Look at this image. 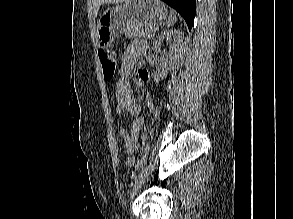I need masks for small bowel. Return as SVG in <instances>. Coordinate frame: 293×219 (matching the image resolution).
Masks as SVG:
<instances>
[{"label": "small bowel", "mask_w": 293, "mask_h": 219, "mask_svg": "<svg viewBox=\"0 0 293 219\" xmlns=\"http://www.w3.org/2000/svg\"><path fill=\"white\" fill-rule=\"evenodd\" d=\"M145 50L146 44L143 41H135L127 47L122 56V62L119 68L120 78L115 86L117 112H127L129 115L136 117L135 121L131 124L129 131L126 128H122L120 130V137L127 152L130 154L134 153L138 149V141L144 125V118L140 116V106L131 94L129 77L135 63ZM148 79L149 72L144 69L140 70L138 73L137 85L143 86Z\"/></svg>", "instance_id": "small-bowel-1"}]
</instances>
